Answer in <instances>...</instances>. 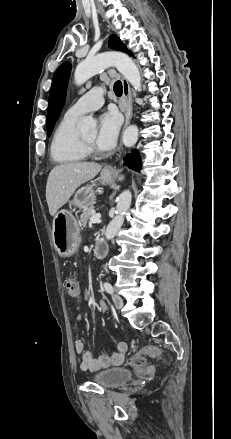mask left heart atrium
<instances>
[{
  "instance_id": "obj_1",
  "label": "left heart atrium",
  "mask_w": 231,
  "mask_h": 439,
  "mask_svg": "<svg viewBox=\"0 0 231 439\" xmlns=\"http://www.w3.org/2000/svg\"><path fill=\"white\" fill-rule=\"evenodd\" d=\"M120 129V118L115 112H106L98 119V133L95 145L100 151L111 150L116 143Z\"/></svg>"
}]
</instances>
